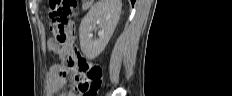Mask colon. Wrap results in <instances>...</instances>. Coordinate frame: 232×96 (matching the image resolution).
<instances>
[{
    "label": "colon",
    "instance_id": "5ec220e1",
    "mask_svg": "<svg viewBox=\"0 0 232 96\" xmlns=\"http://www.w3.org/2000/svg\"><path fill=\"white\" fill-rule=\"evenodd\" d=\"M49 3L50 32L54 37L53 41L57 44L56 52L74 69L76 87L80 95L95 96L101 85L102 68L81 57L78 50L68 43L74 35L68 34L67 24L73 22L78 13L77 2L50 0ZM89 63L93 65L91 68L87 66Z\"/></svg>",
    "mask_w": 232,
    "mask_h": 96
}]
</instances>
